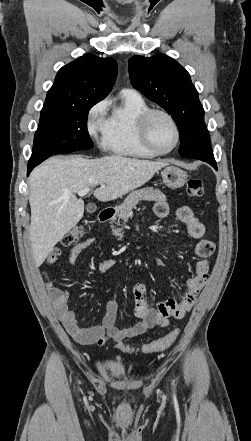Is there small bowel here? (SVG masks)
<instances>
[{
    "instance_id": "small-bowel-1",
    "label": "small bowel",
    "mask_w": 251,
    "mask_h": 441,
    "mask_svg": "<svg viewBox=\"0 0 251 441\" xmlns=\"http://www.w3.org/2000/svg\"><path fill=\"white\" fill-rule=\"evenodd\" d=\"M154 213L159 218H165L169 213L168 205L164 201H158L154 206ZM176 217L185 224L189 235L197 239L193 252L199 260L194 265V275L187 279L186 290L179 301L168 299L158 303L155 307L148 306L146 289L141 283L132 287L136 314L140 321L128 328H120L116 325L119 305L113 298H109L106 304V312L101 325L81 327L78 324L74 311L69 307V294L60 288L49 277L46 270L41 271V278L45 281V287L50 300L57 312L59 319L69 335L82 345H102L108 340L120 342L126 338H134L144 334L154 327H166L169 318H183L194 306L199 292L205 286L210 269L208 258L215 250L212 240L205 238V226L194 215L189 206H181L175 211ZM94 238H88L75 245L69 254V263L75 264L80 254L94 244ZM60 256V250L53 248L46 258L47 264L55 263ZM117 262L114 259H103L97 266V272L102 274L114 268Z\"/></svg>"
}]
</instances>
